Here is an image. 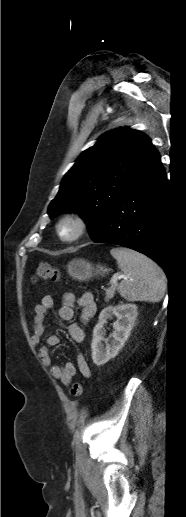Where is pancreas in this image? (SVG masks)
I'll use <instances>...</instances> for the list:
<instances>
[{
    "label": "pancreas",
    "mask_w": 186,
    "mask_h": 517,
    "mask_svg": "<svg viewBox=\"0 0 186 517\" xmlns=\"http://www.w3.org/2000/svg\"><path fill=\"white\" fill-rule=\"evenodd\" d=\"M115 291H116L115 286L106 290V297H105L106 302H108L110 299H112L114 297Z\"/></svg>",
    "instance_id": "pancreas-1"
}]
</instances>
